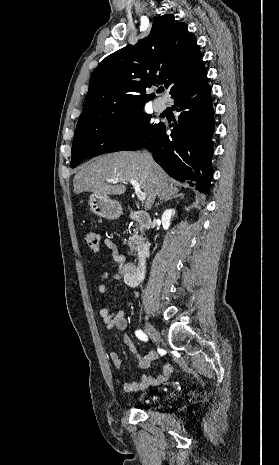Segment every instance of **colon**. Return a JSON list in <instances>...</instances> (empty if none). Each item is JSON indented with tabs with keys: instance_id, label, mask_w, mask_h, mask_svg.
I'll list each match as a JSON object with an SVG mask.
<instances>
[{
	"instance_id": "5ec220e1",
	"label": "colon",
	"mask_w": 279,
	"mask_h": 465,
	"mask_svg": "<svg viewBox=\"0 0 279 465\" xmlns=\"http://www.w3.org/2000/svg\"><path fill=\"white\" fill-rule=\"evenodd\" d=\"M100 234L97 231H89L85 235V243L93 252H97L100 248Z\"/></svg>"
}]
</instances>
